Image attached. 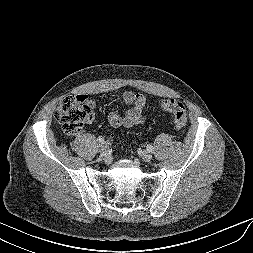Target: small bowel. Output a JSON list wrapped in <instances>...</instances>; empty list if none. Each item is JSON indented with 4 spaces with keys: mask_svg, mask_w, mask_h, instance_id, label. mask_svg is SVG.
Listing matches in <instances>:
<instances>
[{
    "mask_svg": "<svg viewBox=\"0 0 253 253\" xmlns=\"http://www.w3.org/2000/svg\"><path fill=\"white\" fill-rule=\"evenodd\" d=\"M85 97L89 105L93 107L95 105L94 101L88 99L87 96ZM122 99L130 108L124 117H121L116 112H109L107 116L109 124L114 128H130L142 124L145 120L144 109L146 107V98L142 94L126 91L123 93Z\"/></svg>",
    "mask_w": 253,
    "mask_h": 253,
    "instance_id": "1",
    "label": "small bowel"
}]
</instances>
